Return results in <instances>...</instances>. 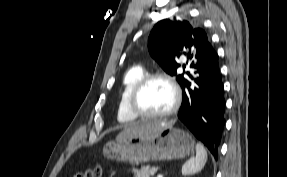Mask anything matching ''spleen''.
<instances>
[{
	"label": "spleen",
	"mask_w": 287,
	"mask_h": 177,
	"mask_svg": "<svg viewBox=\"0 0 287 177\" xmlns=\"http://www.w3.org/2000/svg\"><path fill=\"white\" fill-rule=\"evenodd\" d=\"M207 162V152L201 143L196 145V157L191 158L182 166L183 175L195 174L202 170Z\"/></svg>",
	"instance_id": "1"
}]
</instances>
